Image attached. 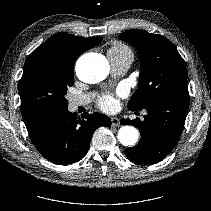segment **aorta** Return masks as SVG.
<instances>
[{
    "label": "aorta",
    "instance_id": "1",
    "mask_svg": "<svg viewBox=\"0 0 211 211\" xmlns=\"http://www.w3.org/2000/svg\"><path fill=\"white\" fill-rule=\"evenodd\" d=\"M109 72V64L106 58L100 54H85L76 63L77 76L86 83H97L106 78ZM139 137L136 128L122 126L118 132V140L124 146L134 145Z\"/></svg>",
    "mask_w": 211,
    "mask_h": 211
}]
</instances>
